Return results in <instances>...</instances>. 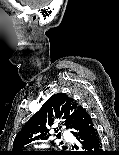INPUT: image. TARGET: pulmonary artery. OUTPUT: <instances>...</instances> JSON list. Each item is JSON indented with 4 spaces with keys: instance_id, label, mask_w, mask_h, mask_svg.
Returning a JSON list of instances; mask_svg holds the SVG:
<instances>
[{
    "instance_id": "pulmonary-artery-1",
    "label": "pulmonary artery",
    "mask_w": 119,
    "mask_h": 155,
    "mask_svg": "<svg viewBox=\"0 0 119 155\" xmlns=\"http://www.w3.org/2000/svg\"><path fill=\"white\" fill-rule=\"evenodd\" d=\"M63 135H64V137H66V138H70V133L67 132V131H64V132H63Z\"/></svg>"
}]
</instances>
